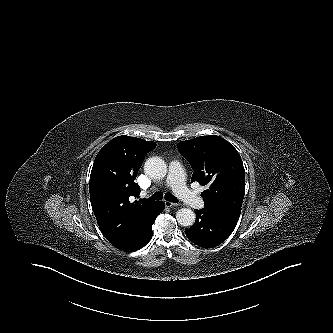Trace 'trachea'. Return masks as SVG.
<instances>
[{
  "instance_id": "obj_1",
  "label": "trachea",
  "mask_w": 333,
  "mask_h": 333,
  "mask_svg": "<svg viewBox=\"0 0 333 333\" xmlns=\"http://www.w3.org/2000/svg\"><path fill=\"white\" fill-rule=\"evenodd\" d=\"M165 199L169 202L177 203L178 199L174 197L171 193H166L165 194ZM163 198V193L161 192H156L154 193L151 197H149V200H161Z\"/></svg>"
}]
</instances>
